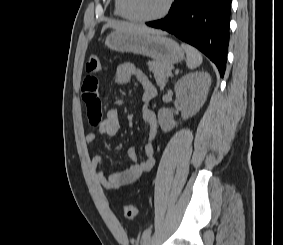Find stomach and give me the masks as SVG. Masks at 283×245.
I'll use <instances>...</instances> for the list:
<instances>
[{
    "label": "stomach",
    "mask_w": 283,
    "mask_h": 245,
    "mask_svg": "<svg viewBox=\"0 0 283 245\" xmlns=\"http://www.w3.org/2000/svg\"><path fill=\"white\" fill-rule=\"evenodd\" d=\"M105 45L118 52L147 56L165 64H174L184 59V51L173 39L150 33L114 31Z\"/></svg>",
    "instance_id": "obj_1"
}]
</instances>
